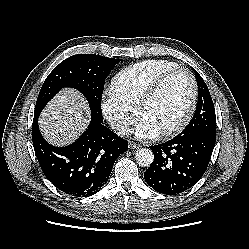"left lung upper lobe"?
<instances>
[{"label":"left lung upper lobe","mask_w":249,"mask_h":249,"mask_svg":"<svg viewBox=\"0 0 249 249\" xmlns=\"http://www.w3.org/2000/svg\"><path fill=\"white\" fill-rule=\"evenodd\" d=\"M195 77L198 85V104L193 118L180 134L200 131L216 135V115L210 92L197 71Z\"/></svg>","instance_id":"1"}]
</instances>
